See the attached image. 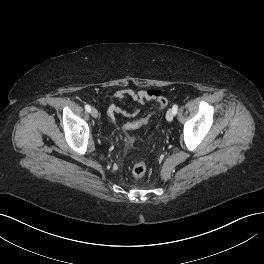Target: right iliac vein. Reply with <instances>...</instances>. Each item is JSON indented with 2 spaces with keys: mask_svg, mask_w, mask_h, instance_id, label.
Segmentation results:
<instances>
[{
  "mask_svg": "<svg viewBox=\"0 0 264 264\" xmlns=\"http://www.w3.org/2000/svg\"><path fill=\"white\" fill-rule=\"evenodd\" d=\"M91 115H92L93 118H97L98 115H99L97 109L92 108L91 109Z\"/></svg>",
  "mask_w": 264,
  "mask_h": 264,
  "instance_id": "63e3f726",
  "label": "right iliac vein"
}]
</instances>
